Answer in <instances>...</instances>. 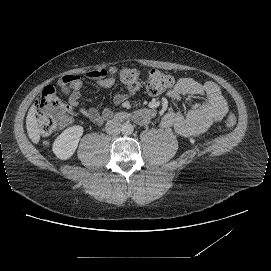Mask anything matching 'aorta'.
<instances>
[{"mask_svg": "<svg viewBox=\"0 0 271 271\" xmlns=\"http://www.w3.org/2000/svg\"><path fill=\"white\" fill-rule=\"evenodd\" d=\"M121 131L125 135H130V134L133 133L134 128H133L132 124H130V123H124L122 125V127H121Z\"/></svg>", "mask_w": 271, "mask_h": 271, "instance_id": "aorta-1", "label": "aorta"}]
</instances>
